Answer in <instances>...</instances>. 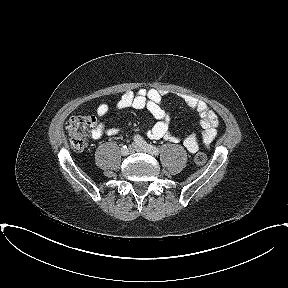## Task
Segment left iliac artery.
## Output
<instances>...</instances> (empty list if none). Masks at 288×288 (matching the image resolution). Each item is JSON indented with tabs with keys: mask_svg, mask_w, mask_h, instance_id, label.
I'll use <instances>...</instances> for the list:
<instances>
[{
	"mask_svg": "<svg viewBox=\"0 0 288 288\" xmlns=\"http://www.w3.org/2000/svg\"><path fill=\"white\" fill-rule=\"evenodd\" d=\"M134 140L137 145L142 147L146 152L152 154V155H158L159 149L153 145L147 144L139 135L134 137Z\"/></svg>",
	"mask_w": 288,
	"mask_h": 288,
	"instance_id": "left-iliac-artery-1",
	"label": "left iliac artery"
}]
</instances>
